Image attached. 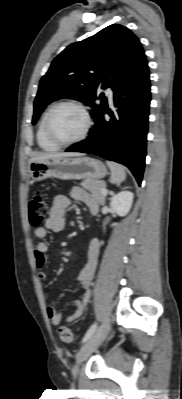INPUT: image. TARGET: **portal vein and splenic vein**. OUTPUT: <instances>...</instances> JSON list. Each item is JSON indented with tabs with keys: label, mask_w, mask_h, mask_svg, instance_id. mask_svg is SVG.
I'll return each mask as SVG.
<instances>
[{
	"label": "portal vein and splenic vein",
	"mask_w": 182,
	"mask_h": 399,
	"mask_svg": "<svg viewBox=\"0 0 182 399\" xmlns=\"http://www.w3.org/2000/svg\"><path fill=\"white\" fill-rule=\"evenodd\" d=\"M103 194L106 195V194H107V190H104V191H103Z\"/></svg>",
	"instance_id": "obj_1"
}]
</instances>
